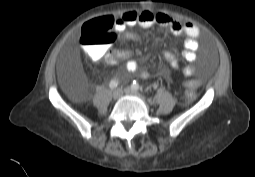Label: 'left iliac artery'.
I'll return each instance as SVG.
<instances>
[{
	"instance_id": "obj_1",
	"label": "left iliac artery",
	"mask_w": 255,
	"mask_h": 177,
	"mask_svg": "<svg viewBox=\"0 0 255 177\" xmlns=\"http://www.w3.org/2000/svg\"><path fill=\"white\" fill-rule=\"evenodd\" d=\"M131 88L135 91H138L140 89V86L138 84V82L136 81H133L132 85H131Z\"/></svg>"
}]
</instances>
